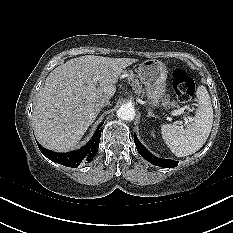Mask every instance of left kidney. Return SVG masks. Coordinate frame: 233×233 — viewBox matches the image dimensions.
I'll return each mask as SVG.
<instances>
[{
    "mask_svg": "<svg viewBox=\"0 0 233 233\" xmlns=\"http://www.w3.org/2000/svg\"><path fill=\"white\" fill-rule=\"evenodd\" d=\"M152 136H153V137H155V134H154V132H152Z\"/></svg>",
    "mask_w": 233,
    "mask_h": 233,
    "instance_id": "1",
    "label": "left kidney"
}]
</instances>
